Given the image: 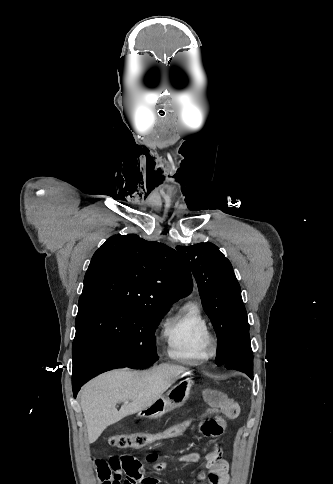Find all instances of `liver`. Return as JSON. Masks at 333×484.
Masks as SVG:
<instances>
[{
    "label": "liver",
    "mask_w": 333,
    "mask_h": 484,
    "mask_svg": "<svg viewBox=\"0 0 333 484\" xmlns=\"http://www.w3.org/2000/svg\"><path fill=\"white\" fill-rule=\"evenodd\" d=\"M186 371L182 366L162 363L145 371L113 370L89 381L80 393L89 441L95 442L108 426L124 417L152 406ZM118 402H123L119 411L115 408Z\"/></svg>",
    "instance_id": "6515ba94"
}]
</instances>
